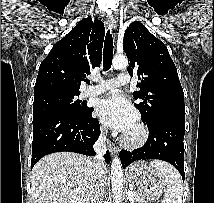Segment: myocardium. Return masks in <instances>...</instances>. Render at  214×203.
I'll use <instances>...</instances> for the list:
<instances>
[{
  "mask_svg": "<svg viewBox=\"0 0 214 203\" xmlns=\"http://www.w3.org/2000/svg\"><path fill=\"white\" fill-rule=\"evenodd\" d=\"M148 135V130L139 123L131 132L124 135L122 141L128 147H140L146 143Z\"/></svg>",
  "mask_w": 214,
  "mask_h": 203,
  "instance_id": "obj_1",
  "label": "myocardium"
}]
</instances>
